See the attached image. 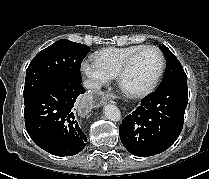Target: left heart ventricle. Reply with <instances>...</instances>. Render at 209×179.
Returning a JSON list of instances; mask_svg holds the SVG:
<instances>
[{
  "label": "left heart ventricle",
  "instance_id": "1",
  "mask_svg": "<svg viewBox=\"0 0 209 179\" xmlns=\"http://www.w3.org/2000/svg\"><path fill=\"white\" fill-rule=\"evenodd\" d=\"M160 56L157 51H144L134 62L123 79L126 91L134 92L147 87L156 77L160 68Z\"/></svg>",
  "mask_w": 209,
  "mask_h": 179
}]
</instances>
